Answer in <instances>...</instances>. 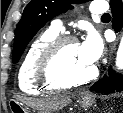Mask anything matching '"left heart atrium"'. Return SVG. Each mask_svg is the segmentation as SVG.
<instances>
[{"label": "left heart atrium", "mask_w": 123, "mask_h": 113, "mask_svg": "<svg viewBox=\"0 0 123 113\" xmlns=\"http://www.w3.org/2000/svg\"><path fill=\"white\" fill-rule=\"evenodd\" d=\"M80 53L83 59L93 65L103 53V42L100 36L91 31L84 41L79 45Z\"/></svg>", "instance_id": "left-heart-atrium-1"}]
</instances>
